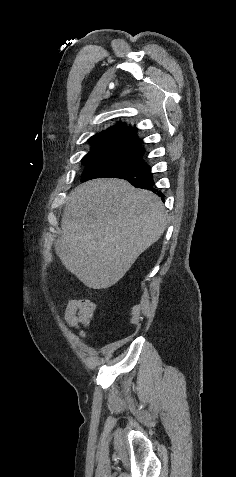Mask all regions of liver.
<instances>
[{"instance_id": "liver-1", "label": "liver", "mask_w": 236, "mask_h": 477, "mask_svg": "<svg viewBox=\"0 0 236 477\" xmlns=\"http://www.w3.org/2000/svg\"><path fill=\"white\" fill-rule=\"evenodd\" d=\"M167 215L151 191L122 179H94L67 197L55 252L84 285L116 284L164 233Z\"/></svg>"}]
</instances>
